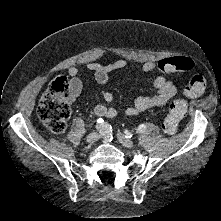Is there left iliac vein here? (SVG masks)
<instances>
[{
  "label": "left iliac vein",
  "mask_w": 221,
  "mask_h": 221,
  "mask_svg": "<svg viewBox=\"0 0 221 221\" xmlns=\"http://www.w3.org/2000/svg\"><path fill=\"white\" fill-rule=\"evenodd\" d=\"M117 138L119 142L125 147L132 148L134 146V142L126 138L123 134L118 133Z\"/></svg>",
  "instance_id": "left-iliac-vein-1"
}]
</instances>
